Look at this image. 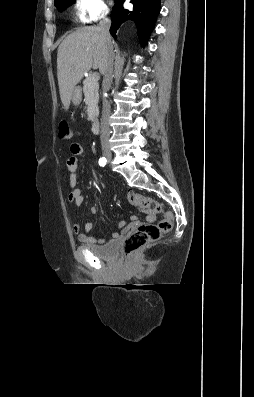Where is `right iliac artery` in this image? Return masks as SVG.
Masks as SVG:
<instances>
[{"instance_id":"82829eb1","label":"right iliac artery","mask_w":254,"mask_h":397,"mask_svg":"<svg viewBox=\"0 0 254 397\" xmlns=\"http://www.w3.org/2000/svg\"><path fill=\"white\" fill-rule=\"evenodd\" d=\"M106 163H107L106 158L102 157V158L99 159V165L100 166L104 167L106 165Z\"/></svg>"}]
</instances>
